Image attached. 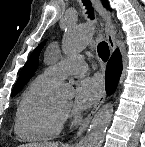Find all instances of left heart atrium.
I'll use <instances>...</instances> for the list:
<instances>
[{
    "instance_id": "39dd6f15",
    "label": "left heart atrium",
    "mask_w": 145,
    "mask_h": 147,
    "mask_svg": "<svg viewBox=\"0 0 145 147\" xmlns=\"http://www.w3.org/2000/svg\"><path fill=\"white\" fill-rule=\"evenodd\" d=\"M102 80L98 76L85 77L76 85L75 101L73 110L76 113L90 108L101 96Z\"/></svg>"
}]
</instances>
